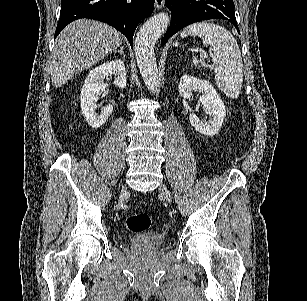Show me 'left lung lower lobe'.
I'll list each match as a JSON object with an SVG mask.
<instances>
[{
  "label": "left lung lower lobe",
  "instance_id": "0a47b994",
  "mask_svg": "<svg viewBox=\"0 0 307 301\" xmlns=\"http://www.w3.org/2000/svg\"><path fill=\"white\" fill-rule=\"evenodd\" d=\"M165 3L171 10L172 20L165 37L161 40L162 46L183 27L202 20H228L239 32L233 0H166Z\"/></svg>",
  "mask_w": 307,
  "mask_h": 301
}]
</instances>
